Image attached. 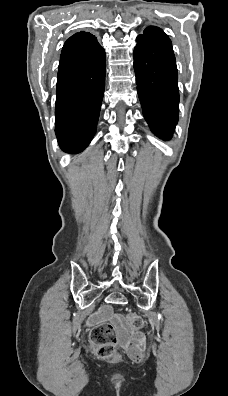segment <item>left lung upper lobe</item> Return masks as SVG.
<instances>
[{"mask_svg": "<svg viewBox=\"0 0 228 396\" xmlns=\"http://www.w3.org/2000/svg\"><path fill=\"white\" fill-rule=\"evenodd\" d=\"M151 28H154V26L147 27L145 30H148V29H151Z\"/></svg>", "mask_w": 228, "mask_h": 396, "instance_id": "obj_1", "label": "left lung upper lobe"}]
</instances>
